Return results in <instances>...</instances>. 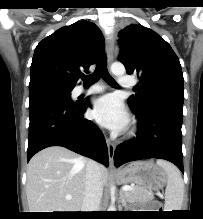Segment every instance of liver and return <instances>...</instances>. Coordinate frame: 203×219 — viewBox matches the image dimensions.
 Wrapping results in <instances>:
<instances>
[{
	"label": "liver",
	"mask_w": 203,
	"mask_h": 219,
	"mask_svg": "<svg viewBox=\"0 0 203 219\" xmlns=\"http://www.w3.org/2000/svg\"><path fill=\"white\" fill-rule=\"evenodd\" d=\"M88 159L61 146L35 154L27 166L26 194L30 212H79L86 187ZM99 165L102 187L107 169ZM71 195V199H66Z\"/></svg>",
	"instance_id": "obj_1"
}]
</instances>
